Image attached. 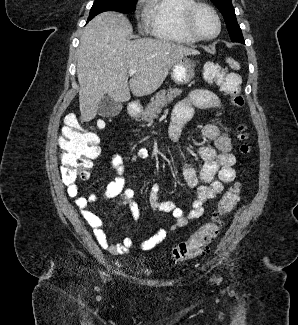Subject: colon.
Returning a JSON list of instances; mask_svg holds the SVG:
<instances>
[{"label": "colon", "instance_id": "colon-1", "mask_svg": "<svg viewBox=\"0 0 298 325\" xmlns=\"http://www.w3.org/2000/svg\"><path fill=\"white\" fill-rule=\"evenodd\" d=\"M203 77L206 82L218 86L230 100V103L243 110L245 100L241 94L240 79L220 64L207 62L203 66ZM98 125H102L99 121ZM237 138L243 142L240 151L248 154L251 151L246 124H239L236 130ZM97 135L82 126L75 115L66 118L65 126L59 139L61 162V178L68 185L77 184L78 180L89 176L92 161L98 157L100 148ZM241 194V183L235 182L222 196L217 210L211 220L198 229L188 240L176 245L172 251V259L184 261L201 254L217 237L221 218L229 214L237 205Z\"/></svg>", "mask_w": 298, "mask_h": 325}]
</instances>
